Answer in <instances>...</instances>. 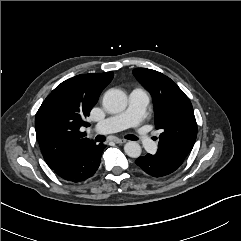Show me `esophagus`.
Returning <instances> with one entry per match:
<instances>
[{"instance_id": "esophagus-1", "label": "esophagus", "mask_w": 241, "mask_h": 241, "mask_svg": "<svg viewBox=\"0 0 241 241\" xmlns=\"http://www.w3.org/2000/svg\"><path fill=\"white\" fill-rule=\"evenodd\" d=\"M114 141H115L116 143H118V144H124V143H126V140L120 139V138H116V139H114Z\"/></svg>"}]
</instances>
